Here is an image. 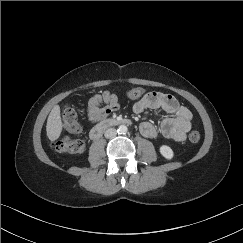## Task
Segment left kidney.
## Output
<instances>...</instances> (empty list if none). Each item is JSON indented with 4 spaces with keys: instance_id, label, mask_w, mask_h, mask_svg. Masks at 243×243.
Wrapping results in <instances>:
<instances>
[{
    "instance_id": "obj_1",
    "label": "left kidney",
    "mask_w": 243,
    "mask_h": 243,
    "mask_svg": "<svg viewBox=\"0 0 243 243\" xmlns=\"http://www.w3.org/2000/svg\"><path fill=\"white\" fill-rule=\"evenodd\" d=\"M159 151H160V154L168 160L172 159L174 156L173 150L167 145H162L160 147Z\"/></svg>"
}]
</instances>
